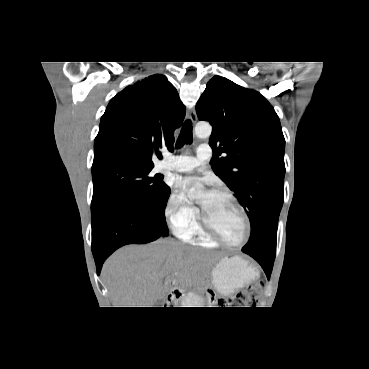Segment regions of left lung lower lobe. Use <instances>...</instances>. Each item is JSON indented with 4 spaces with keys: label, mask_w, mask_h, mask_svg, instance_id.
<instances>
[{
    "label": "left lung lower lobe",
    "mask_w": 369,
    "mask_h": 369,
    "mask_svg": "<svg viewBox=\"0 0 369 369\" xmlns=\"http://www.w3.org/2000/svg\"><path fill=\"white\" fill-rule=\"evenodd\" d=\"M242 251L250 255L251 257H253L262 266L263 270L266 273L267 278L269 279L271 272H272L275 257L254 254V253L247 252L245 250H242Z\"/></svg>",
    "instance_id": "1"
}]
</instances>
